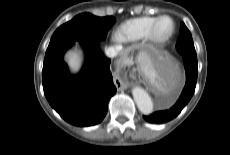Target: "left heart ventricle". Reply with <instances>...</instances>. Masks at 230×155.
I'll list each match as a JSON object with an SVG mask.
<instances>
[{
  "label": "left heart ventricle",
  "mask_w": 230,
  "mask_h": 155,
  "mask_svg": "<svg viewBox=\"0 0 230 155\" xmlns=\"http://www.w3.org/2000/svg\"><path fill=\"white\" fill-rule=\"evenodd\" d=\"M171 22L167 19L163 20L160 22L159 26H158V34L161 36H164L166 34H168L171 30Z\"/></svg>",
  "instance_id": "left-heart-ventricle-1"
}]
</instances>
